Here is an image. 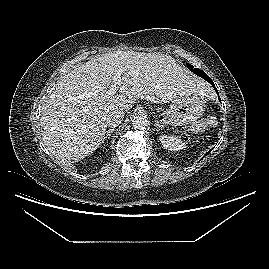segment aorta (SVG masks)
I'll use <instances>...</instances> for the list:
<instances>
[{
	"label": "aorta",
	"instance_id": "1",
	"mask_svg": "<svg viewBox=\"0 0 269 269\" xmlns=\"http://www.w3.org/2000/svg\"><path fill=\"white\" fill-rule=\"evenodd\" d=\"M132 126L135 129H144L148 125V118L143 113H136L131 118Z\"/></svg>",
	"mask_w": 269,
	"mask_h": 269
}]
</instances>
